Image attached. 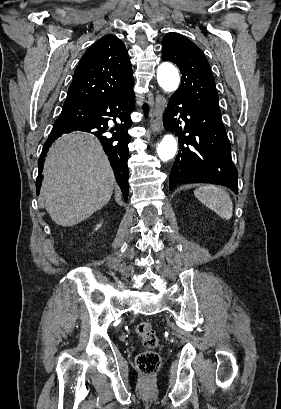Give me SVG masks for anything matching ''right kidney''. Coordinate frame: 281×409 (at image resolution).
I'll return each instance as SVG.
<instances>
[{"mask_svg": "<svg viewBox=\"0 0 281 409\" xmlns=\"http://www.w3.org/2000/svg\"><path fill=\"white\" fill-rule=\"evenodd\" d=\"M100 225H97V229H99Z\"/></svg>", "mask_w": 281, "mask_h": 409, "instance_id": "1", "label": "right kidney"}]
</instances>
